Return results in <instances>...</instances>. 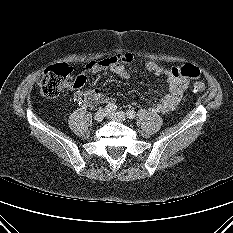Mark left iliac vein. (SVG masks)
<instances>
[{
  "label": "left iliac vein",
  "instance_id": "obj_1",
  "mask_svg": "<svg viewBox=\"0 0 233 233\" xmlns=\"http://www.w3.org/2000/svg\"><path fill=\"white\" fill-rule=\"evenodd\" d=\"M108 118L114 121H119V122H124L127 119L126 114L122 111L108 113Z\"/></svg>",
  "mask_w": 233,
  "mask_h": 233
}]
</instances>
